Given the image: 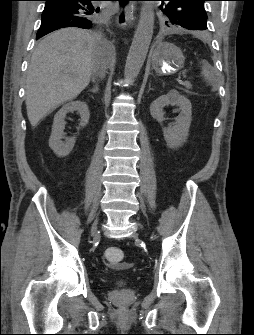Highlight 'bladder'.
Listing matches in <instances>:
<instances>
[{"instance_id": "31cf9c89", "label": "bladder", "mask_w": 254, "mask_h": 335, "mask_svg": "<svg viewBox=\"0 0 254 335\" xmlns=\"http://www.w3.org/2000/svg\"><path fill=\"white\" fill-rule=\"evenodd\" d=\"M126 276L124 274H117L115 284L118 288H124L126 285Z\"/></svg>"}]
</instances>
